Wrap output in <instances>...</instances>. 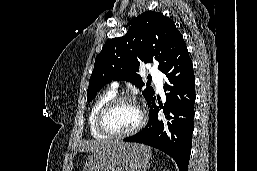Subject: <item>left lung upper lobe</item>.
Instances as JSON below:
<instances>
[{
	"instance_id": "obj_1",
	"label": "left lung upper lobe",
	"mask_w": 257,
	"mask_h": 171,
	"mask_svg": "<svg viewBox=\"0 0 257 171\" xmlns=\"http://www.w3.org/2000/svg\"><path fill=\"white\" fill-rule=\"evenodd\" d=\"M185 46L183 36L172 20L154 11L141 14L132 21L126 35L109 40L96 57L87 101L113 80L130 81L141 89L144 83L136 74L140 63L157 61L161 70L170 56ZM142 94L148 102L154 90L147 87Z\"/></svg>"
}]
</instances>
